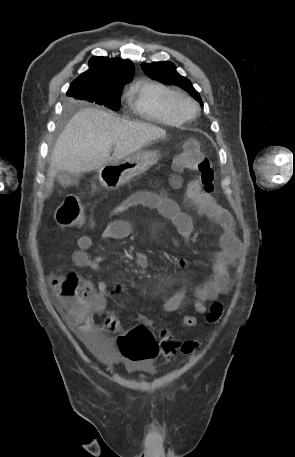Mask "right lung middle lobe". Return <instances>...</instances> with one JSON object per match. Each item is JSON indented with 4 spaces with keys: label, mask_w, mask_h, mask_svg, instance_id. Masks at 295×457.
Returning a JSON list of instances; mask_svg holds the SVG:
<instances>
[{
    "label": "right lung middle lobe",
    "mask_w": 295,
    "mask_h": 457,
    "mask_svg": "<svg viewBox=\"0 0 295 457\" xmlns=\"http://www.w3.org/2000/svg\"><path fill=\"white\" fill-rule=\"evenodd\" d=\"M122 89L123 87L117 89L95 90L86 88L85 86H76L68 92L67 95L78 99L88 100L89 102H95L117 111L120 108Z\"/></svg>",
    "instance_id": "1"
}]
</instances>
